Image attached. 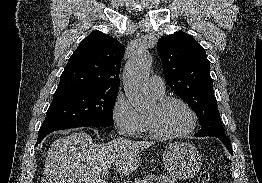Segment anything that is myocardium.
I'll return each mask as SVG.
<instances>
[{
  "mask_svg": "<svg viewBox=\"0 0 262 183\" xmlns=\"http://www.w3.org/2000/svg\"><path fill=\"white\" fill-rule=\"evenodd\" d=\"M173 103H178L181 104L182 106H184L189 113L191 114V118H192V124L191 127L179 134H166L161 132L155 121L146 116V123H147V128H148V132L150 133L151 136H153L154 138L157 139H161V140H172V139H180V138H184L187 137L188 135L192 134L195 129L197 128V124H198V117H197V113L194 110V108L185 100L178 98V97H165V98H161L158 102H157V108L159 110H163L166 107H168L170 104Z\"/></svg>",
  "mask_w": 262,
  "mask_h": 183,
  "instance_id": "1",
  "label": "myocardium"
}]
</instances>
